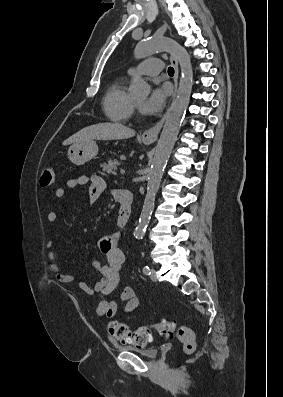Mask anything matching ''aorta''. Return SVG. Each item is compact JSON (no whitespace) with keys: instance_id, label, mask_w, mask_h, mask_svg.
I'll return each instance as SVG.
<instances>
[{"instance_id":"obj_1","label":"aorta","mask_w":283,"mask_h":397,"mask_svg":"<svg viewBox=\"0 0 283 397\" xmlns=\"http://www.w3.org/2000/svg\"><path fill=\"white\" fill-rule=\"evenodd\" d=\"M156 51H167L175 56L180 65L181 77L176 98L168 113L152 160L142 212L134 231V235L138 239L144 236L149 223L164 168L176 142L181 122L189 104L193 85L190 56L187 50L176 41L165 37H153L150 40L138 43L134 55L135 58L142 59ZM130 89L136 96H145L150 92V86L142 78L133 80Z\"/></svg>"}]
</instances>
